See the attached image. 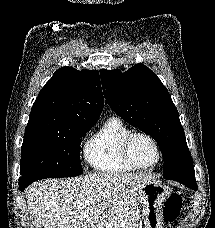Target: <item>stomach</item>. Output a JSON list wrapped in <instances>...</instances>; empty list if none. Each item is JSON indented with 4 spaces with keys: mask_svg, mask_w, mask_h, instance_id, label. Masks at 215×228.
<instances>
[{
    "mask_svg": "<svg viewBox=\"0 0 215 228\" xmlns=\"http://www.w3.org/2000/svg\"><path fill=\"white\" fill-rule=\"evenodd\" d=\"M169 196H171L170 188L156 178L140 184L137 198L142 208L143 228H163L165 202Z\"/></svg>",
    "mask_w": 215,
    "mask_h": 228,
    "instance_id": "obj_1",
    "label": "stomach"
}]
</instances>
